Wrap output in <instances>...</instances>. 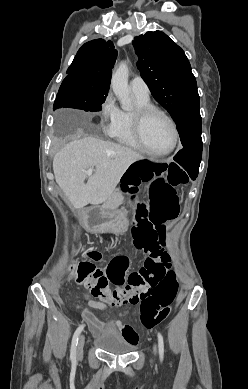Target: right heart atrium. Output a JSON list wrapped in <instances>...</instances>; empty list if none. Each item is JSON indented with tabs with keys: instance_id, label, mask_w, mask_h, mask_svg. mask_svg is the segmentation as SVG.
<instances>
[{
	"instance_id": "1",
	"label": "right heart atrium",
	"mask_w": 248,
	"mask_h": 389,
	"mask_svg": "<svg viewBox=\"0 0 248 389\" xmlns=\"http://www.w3.org/2000/svg\"><path fill=\"white\" fill-rule=\"evenodd\" d=\"M100 118L103 129L107 134H112L119 118L120 109L111 94H107L100 107Z\"/></svg>"
}]
</instances>
